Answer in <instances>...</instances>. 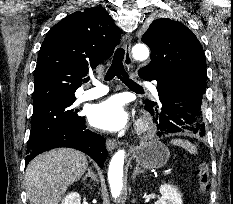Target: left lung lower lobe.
Returning <instances> with one entry per match:
<instances>
[{
  "instance_id": "1",
  "label": "left lung lower lobe",
  "mask_w": 233,
  "mask_h": 204,
  "mask_svg": "<svg viewBox=\"0 0 233 204\" xmlns=\"http://www.w3.org/2000/svg\"><path fill=\"white\" fill-rule=\"evenodd\" d=\"M141 78L158 83V104L144 107L153 116L158 136L180 132L205 135L201 110L204 87L179 70L165 67L158 68L152 76Z\"/></svg>"
}]
</instances>
